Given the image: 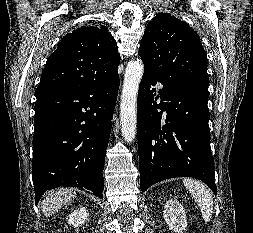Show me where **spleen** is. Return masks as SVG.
Segmentation results:
<instances>
[{
	"mask_svg": "<svg viewBox=\"0 0 253 233\" xmlns=\"http://www.w3.org/2000/svg\"><path fill=\"white\" fill-rule=\"evenodd\" d=\"M184 186L192 194L197 202L205 222H209L213 212V198L208 188L200 181L184 179Z\"/></svg>",
	"mask_w": 253,
	"mask_h": 233,
	"instance_id": "3e777b00",
	"label": "spleen"
}]
</instances>
